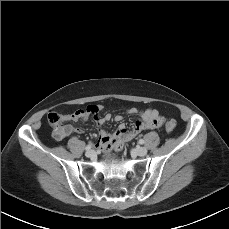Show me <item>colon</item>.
<instances>
[{"mask_svg":"<svg viewBox=\"0 0 229 229\" xmlns=\"http://www.w3.org/2000/svg\"><path fill=\"white\" fill-rule=\"evenodd\" d=\"M98 109H99L98 106L90 105L84 111L87 114H96L98 112ZM48 122L54 128L55 136L57 138H61V137L64 136L66 130L68 129V126H67L66 123H64L61 120L59 114H57L56 112L51 111L48 114ZM160 122H161V118L159 116H157V115H154L153 119H152V123L154 125H158V124H160ZM175 128H176V122L174 120H168L165 123V129L168 132L173 131ZM114 142H116V140Z\"/></svg>","mask_w":229,"mask_h":229,"instance_id":"colon-1","label":"colon"}]
</instances>
